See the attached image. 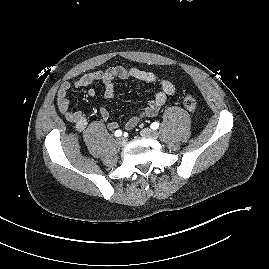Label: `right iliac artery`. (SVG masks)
Wrapping results in <instances>:
<instances>
[{"instance_id": "1", "label": "right iliac artery", "mask_w": 269, "mask_h": 269, "mask_svg": "<svg viewBox=\"0 0 269 269\" xmlns=\"http://www.w3.org/2000/svg\"><path fill=\"white\" fill-rule=\"evenodd\" d=\"M114 134H115L116 137H120L122 135V131L121 130H116Z\"/></svg>"}]
</instances>
